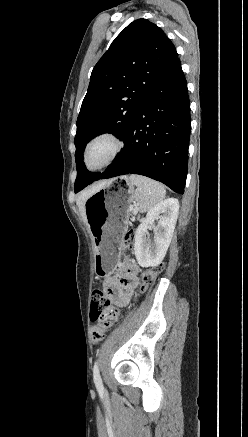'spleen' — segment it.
I'll return each instance as SVG.
<instances>
[{
    "mask_svg": "<svg viewBox=\"0 0 248 437\" xmlns=\"http://www.w3.org/2000/svg\"><path fill=\"white\" fill-rule=\"evenodd\" d=\"M129 179L137 186L134 198L141 212L150 211L166 196L164 186L155 180L135 174H132Z\"/></svg>",
    "mask_w": 248,
    "mask_h": 437,
    "instance_id": "3e777b00",
    "label": "spleen"
}]
</instances>
